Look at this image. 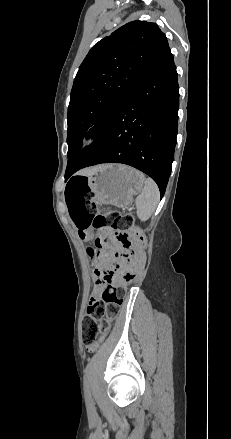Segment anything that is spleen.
Segmentation results:
<instances>
[{"mask_svg": "<svg viewBox=\"0 0 231 439\" xmlns=\"http://www.w3.org/2000/svg\"><path fill=\"white\" fill-rule=\"evenodd\" d=\"M160 199L157 184L146 178L141 194L136 198L137 216L141 221L148 220L154 213Z\"/></svg>", "mask_w": 231, "mask_h": 439, "instance_id": "3e777b00", "label": "spleen"}]
</instances>
